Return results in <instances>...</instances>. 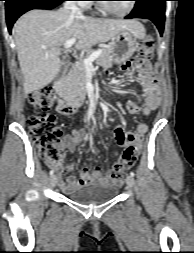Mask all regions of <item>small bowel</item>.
<instances>
[{"instance_id":"obj_1","label":"small bowel","mask_w":194,"mask_h":253,"mask_svg":"<svg viewBox=\"0 0 194 253\" xmlns=\"http://www.w3.org/2000/svg\"><path fill=\"white\" fill-rule=\"evenodd\" d=\"M122 70L132 69L138 74L141 82L145 100L143 108H140L135 102H129L127 110L131 114L142 113L144 117H149L151 112L156 110L161 102L160 89L157 80L152 74H157V69H150L149 62L143 60L139 64L127 62L121 67ZM148 132V125L140 123L135 132L126 130L118 125L114 129V137L119 146L134 147L140 152L145 134ZM88 134L82 131H76L72 136H67L63 140V145L70 153H73L76 147L87 138ZM47 164L56 170L59 178V185L63 192L70 193L78 188L92 183L100 184H118L121 179L114 178L112 173L106 171L101 172L98 167L93 172H90L87 167L81 170L80 177L77 178L71 174L72 166H58L51 161Z\"/></svg>"}]
</instances>
